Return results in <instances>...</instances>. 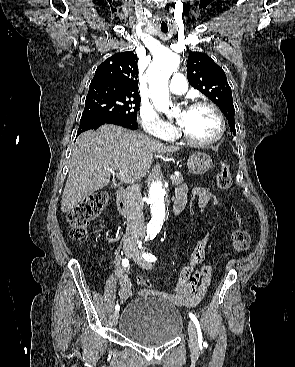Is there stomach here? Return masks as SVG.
<instances>
[{
    "label": "stomach",
    "mask_w": 295,
    "mask_h": 367,
    "mask_svg": "<svg viewBox=\"0 0 295 367\" xmlns=\"http://www.w3.org/2000/svg\"><path fill=\"white\" fill-rule=\"evenodd\" d=\"M213 166L212 159L203 152H196L191 155L187 161V167L190 173L202 175Z\"/></svg>",
    "instance_id": "stomach-1"
}]
</instances>
